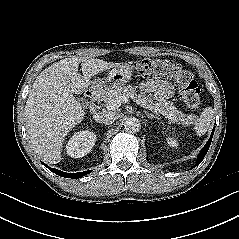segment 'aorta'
<instances>
[{
    "instance_id": "1",
    "label": "aorta",
    "mask_w": 239,
    "mask_h": 239,
    "mask_svg": "<svg viewBox=\"0 0 239 239\" xmlns=\"http://www.w3.org/2000/svg\"><path fill=\"white\" fill-rule=\"evenodd\" d=\"M141 128V123L139 119L135 117L127 118L124 122V129L126 132L135 133L138 132Z\"/></svg>"
}]
</instances>
